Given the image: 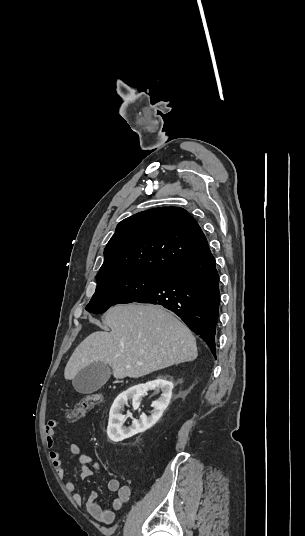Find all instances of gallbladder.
<instances>
[{"label":"gallbladder","mask_w":305,"mask_h":536,"mask_svg":"<svg viewBox=\"0 0 305 536\" xmlns=\"http://www.w3.org/2000/svg\"><path fill=\"white\" fill-rule=\"evenodd\" d=\"M110 376L111 370L108 364L94 362V364H90V366L80 370L77 376L73 378L72 384L79 394H92V392H96L101 386H104Z\"/></svg>","instance_id":"obj_1"}]
</instances>
